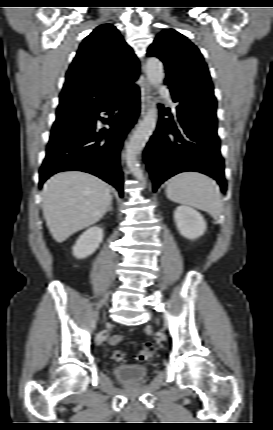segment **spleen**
Wrapping results in <instances>:
<instances>
[{
  "mask_svg": "<svg viewBox=\"0 0 273 430\" xmlns=\"http://www.w3.org/2000/svg\"><path fill=\"white\" fill-rule=\"evenodd\" d=\"M167 198L175 203L192 206L213 217L223 213V202L216 182L202 173L186 171L168 180Z\"/></svg>",
  "mask_w": 273,
  "mask_h": 430,
  "instance_id": "3e777b00",
  "label": "spleen"
}]
</instances>
